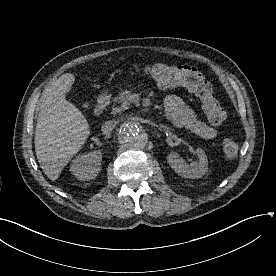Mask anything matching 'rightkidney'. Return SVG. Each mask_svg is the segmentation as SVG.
<instances>
[{
  "mask_svg": "<svg viewBox=\"0 0 276 276\" xmlns=\"http://www.w3.org/2000/svg\"><path fill=\"white\" fill-rule=\"evenodd\" d=\"M102 154L93 151L76 156L70 166L71 173L81 181L94 179L101 170Z\"/></svg>",
  "mask_w": 276,
  "mask_h": 276,
  "instance_id": "1",
  "label": "right kidney"
}]
</instances>
